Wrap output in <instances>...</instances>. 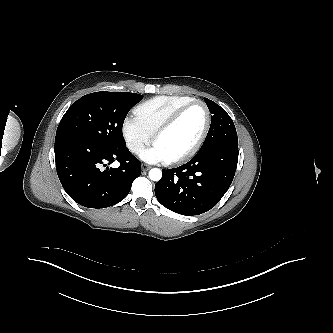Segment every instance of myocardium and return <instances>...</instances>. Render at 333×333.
<instances>
[{
    "label": "myocardium",
    "instance_id": "myocardium-1",
    "mask_svg": "<svg viewBox=\"0 0 333 333\" xmlns=\"http://www.w3.org/2000/svg\"><path fill=\"white\" fill-rule=\"evenodd\" d=\"M195 105H201L205 110L206 120H205V125L202 130V133L199 136L198 140L195 142V144L188 151H186L178 156L167 159L166 161L170 164H178V163L185 162V161L189 160L190 158H192L200 150V148L202 147V145L209 133V129L211 126L210 109L204 101L193 100V101L181 106L175 112H173L154 132L153 140H154V143H156L158 138L163 133H165L167 130H169L188 109H190L191 107H193Z\"/></svg>",
    "mask_w": 333,
    "mask_h": 333
}]
</instances>
